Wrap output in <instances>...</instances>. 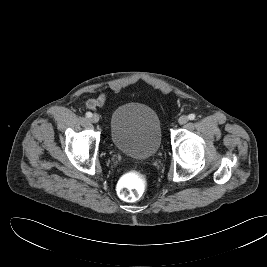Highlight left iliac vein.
Instances as JSON below:
<instances>
[{
  "label": "left iliac vein",
  "mask_w": 267,
  "mask_h": 267,
  "mask_svg": "<svg viewBox=\"0 0 267 267\" xmlns=\"http://www.w3.org/2000/svg\"><path fill=\"white\" fill-rule=\"evenodd\" d=\"M187 122H188V117L186 115H182L178 119V123L181 125L186 124Z\"/></svg>",
  "instance_id": "left-iliac-vein-1"
}]
</instances>
